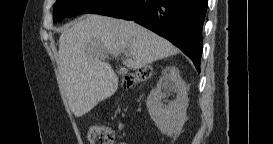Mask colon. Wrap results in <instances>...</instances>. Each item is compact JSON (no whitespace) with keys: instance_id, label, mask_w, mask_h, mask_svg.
<instances>
[{"instance_id":"5ec220e1","label":"colon","mask_w":273,"mask_h":144,"mask_svg":"<svg viewBox=\"0 0 273 144\" xmlns=\"http://www.w3.org/2000/svg\"><path fill=\"white\" fill-rule=\"evenodd\" d=\"M150 76V69H140L136 73L126 77L125 85L131 87L134 84L147 80ZM87 137L91 144H111L113 143L114 134L111 128L106 125L93 124L88 128Z\"/></svg>"}]
</instances>
